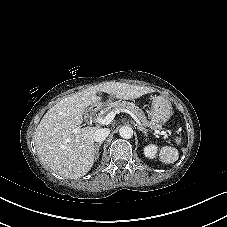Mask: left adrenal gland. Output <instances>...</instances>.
<instances>
[{
    "instance_id": "obj_1",
    "label": "left adrenal gland",
    "mask_w": 227,
    "mask_h": 227,
    "mask_svg": "<svg viewBox=\"0 0 227 227\" xmlns=\"http://www.w3.org/2000/svg\"><path fill=\"white\" fill-rule=\"evenodd\" d=\"M137 129L139 130V131H141L142 133H144V135L147 137L148 136V130L147 129H145V128H142V127H140V126H137Z\"/></svg>"
}]
</instances>
